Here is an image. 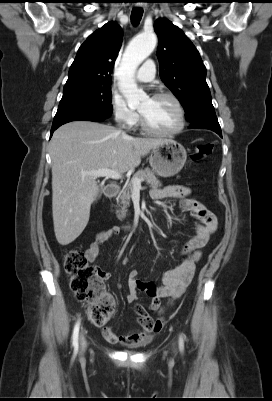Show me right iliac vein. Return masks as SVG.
Instances as JSON below:
<instances>
[{"label":"right iliac vein","instance_id":"63e3f726","mask_svg":"<svg viewBox=\"0 0 272 401\" xmlns=\"http://www.w3.org/2000/svg\"><path fill=\"white\" fill-rule=\"evenodd\" d=\"M80 344H81V349L84 350L86 348V340L83 332H81L80 334Z\"/></svg>","mask_w":272,"mask_h":401}]
</instances>
